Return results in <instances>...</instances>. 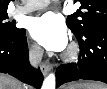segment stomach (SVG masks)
<instances>
[{
  "instance_id": "stomach-1",
  "label": "stomach",
  "mask_w": 107,
  "mask_h": 89,
  "mask_svg": "<svg viewBox=\"0 0 107 89\" xmlns=\"http://www.w3.org/2000/svg\"><path fill=\"white\" fill-rule=\"evenodd\" d=\"M65 89H87L82 85H68Z\"/></svg>"
}]
</instances>
